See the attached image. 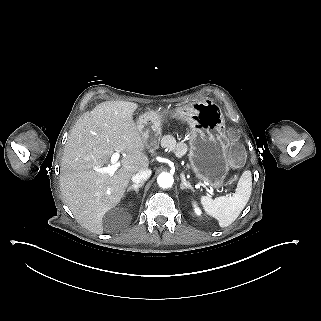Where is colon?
Masks as SVG:
<instances>
[{
  "label": "colon",
  "instance_id": "1",
  "mask_svg": "<svg viewBox=\"0 0 321 321\" xmlns=\"http://www.w3.org/2000/svg\"><path fill=\"white\" fill-rule=\"evenodd\" d=\"M228 159L232 162H239L242 159V151L234 142V135L230 138L229 149H228Z\"/></svg>",
  "mask_w": 321,
  "mask_h": 321
}]
</instances>
